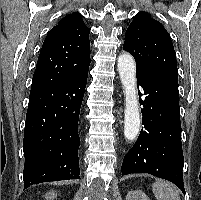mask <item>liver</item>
Returning <instances> with one entry per match:
<instances>
[{"label": "liver", "mask_w": 201, "mask_h": 200, "mask_svg": "<svg viewBox=\"0 0 201 200\" xmlns=\"http://www.w3.org/2000/svg\"><path fill=\"white\" fill-rule=\"evenodd\" d=\"M55 197H56V195H55V192H54V191L49 192V193L46 195V198L49 199V200H53Z\"/></svg>", "instance_id": "6515ba94"}]
</instances>
